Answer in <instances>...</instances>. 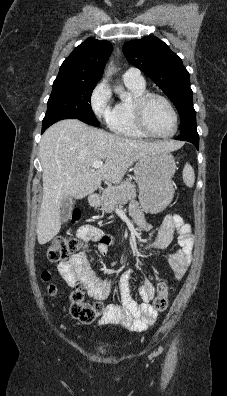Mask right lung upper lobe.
Returning a JSON list of instances; mask_svg holds the SVG:
<instances>
[{"label": "right lung upper lobe", "mask_w": 227, "mask_h": 396, "mask_svg": "<svg viewBox=\"0 0 227 396\" xmlns=\"http://www.w3.org/2000/svg\"><path fill=\"white\" fill-rule=\"evenodd\" d=\"M112 52V44L88 38L76 47L60 67L58 77L99 81Z\"/></svg>", "instance_id": "right-lung-upper-lobe-1"}]
</instances>
